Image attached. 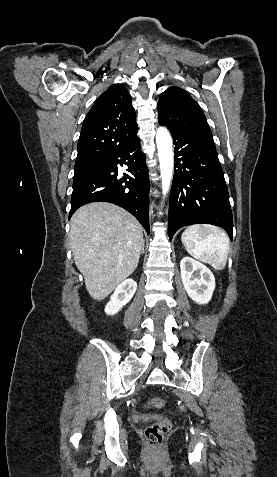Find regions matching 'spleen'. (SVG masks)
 <instances>
[{"label": "spleen", "mask_w": 277, "mask_h": 477, "mask_svg": "<svg viewBox=\"0 0 277 477\" xmlns=\"http://www.w3.org/2000/svg\"><path fill=\"white\" fill-rule=\"evenodd\" d=\"M187 252L194 258L210 264L216 270L226 266L229 238L220 228L207 224L187 227L181 236Z\"/></svg>", "instance_id": "spleen-1"}]
</instances>
